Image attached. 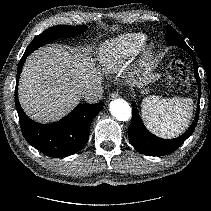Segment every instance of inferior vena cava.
Here are the masks:
<instances>
[{"label":"inferior vena cava","instance_id":"602c4592","mask_svg":"<svg viewBox=\"0 0 211 211\" xmlns=\"http://www.w3.org/2000/svg\"><path fill=\"white\" fill-rule=\"evenodd\" d=\"M103 89L100 86H90L83 90L82 96L87 103H97L101 100Z\"/></svg>","mask_w":211,"mask_h":211}]
</instances>
